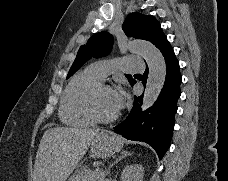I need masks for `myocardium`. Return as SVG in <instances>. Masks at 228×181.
Masks as SVG:
<instances>
[{"instance_id": "f54148a6", "label": "myocardium", "mask_w": 228, "mask_h": 181, "mask_svg": "<svg viewBox=\"0 0 228 181\" xmlns=\"http://www.w3.org/2000/svg\"><path fill=\"white\" fill-rule=\"evenodd\" d=\"M113 85L106 81H100L99 84L94 88L92 97L89 103L90 112L95 119V121L100 123H108L115 120L118 116L117 113H113L111 115H104L100 112L98 107V96L99 93L104 89H112Z\"/></svg>"}]
</instances>
